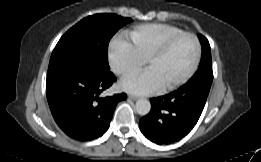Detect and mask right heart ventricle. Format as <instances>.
Wrapping results in <instances>:
<instances>
[{
    "instance_id": "obj_1",
    "label": "right heart ventricle",
    "mask_w": 261,
    "mask_h": 162,
    "mask_svg": "<svg viewBox=\"0 0 261 162\" xmlns=\"http://www.w3.org/2000/svg\"><path fill=\"white\" fill-rule=\"evenodd\" d=\"M183 32L177 26L165 23H148L135 26L128 31V37L135 51L143 58L169 37Z\"/></svg>"
}]
</instances>
